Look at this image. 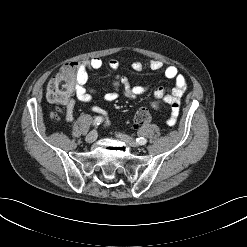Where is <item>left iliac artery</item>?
I'll use <instances>...</instances> for the list:
<instances>
[{
    "instance_id": "44dca946",
    "label": "left iliac artery",
    "mask_w": 247,
    "mask_h": 247,
    "mask_svg": "<svg viewBox=\"0 0 247 247\" xmlns=\"http://www.w3.org/2000/svg\"><path fill=\"white\" fill-rule=\"evenodd\" d=\"M136 142L140 145H144L147 143V139L143 138V137H139V138H136Z\"/></svg>"
}]
</instances>
